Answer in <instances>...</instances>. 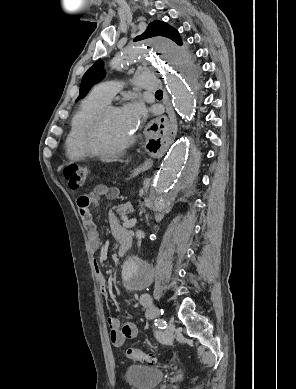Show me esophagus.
Here are the masks:
<instances>
[{
    "label": "esophagus",
    "mask_w": 296,
    "mask_h": 389,
    "mask_svg": "<svg viewBox=\"0 0 296 389\" xmlns=\"http://www.w3.org/2000/svg\"><path fill=\"white\" fill-rule=\"evenodd\" d=\"M175 118V113L171 102L167 100V112H164V117L160 121H155L152 118L147 120L146 126L142 129V136L144 139H161L165 131H169L171 123ZM148 164L141 165L138 170L147 169Z\"/></svg>",
    "instance_id": "1"
}]
</instances>
